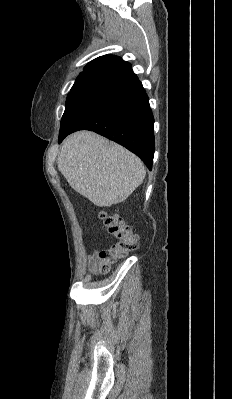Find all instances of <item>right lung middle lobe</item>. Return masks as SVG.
Instances as JSON below:
<instances>
[{"mask_svg": "<svg viewBox=\"0 0 232 399\" xmlns=\"http://www.w3.org/2000/svg\"><path fill=\"white\" fill-rule=\"evenodd\" d=\"M97 83L94 80H76L74 83L73 87L71 88V91L69 92L67 96L66 103L78 96H80L84 91L87 89L95 86Z\"/></svg>", "mask_w": 232, "mask_h": 399, "instance_id": "1", "label": "right lung middle lobe"}]
</instances>
